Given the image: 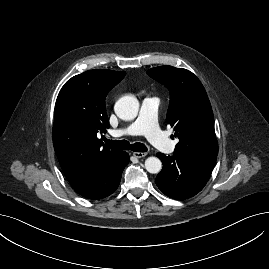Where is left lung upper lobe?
<instances>
[{
  "instance_id": "left-lung-upper-lobe-1",
  "label": "left lung upper lobe",
  "mask_w": 269,
  "mask_h": 269,
  "mask_svg": "<svg viewBox=\"0 0 269 269\" xmlns=\"http://www.w3.org/2000/svg\"><path fill=\"white\" fill-rule=\"evenodd\" d=\"M170 91L166 122L174 127L177 149L218 155L213 111L200 80L190 71L159 66L147 71Z\"/></svg>"
}]
</instances>
